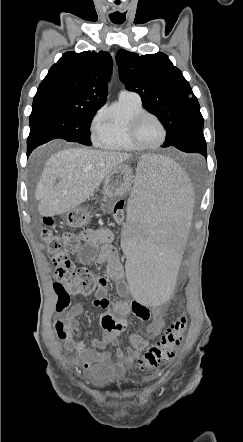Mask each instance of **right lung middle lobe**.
I'll return each mask as SVG.
<instances>
[{"label": "right lung middle lobe", "mask_w": 243, "mask_h": 442, "mask_svg": "<svg viewBox=\"0 0 243 442\" xmlns=\"http://www.w3.org/2000/svg\"><path fill=\"white\" fill-rule=\"evenodd\" d=\"M98 109L75 106L63 98H34L30 130L41 129L60 134L68 142L90 146L89 128Z\"/></svg>", "instance_id": "obj_1"}]
</instances>
